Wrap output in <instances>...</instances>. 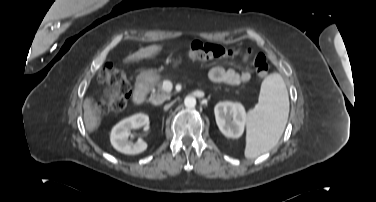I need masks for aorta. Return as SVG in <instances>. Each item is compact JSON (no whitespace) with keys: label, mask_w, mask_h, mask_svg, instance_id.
Segmentation results:
<instances>
[{"label":"aorta","mask_w":376,"mask_h":202,"mask_svg":"<svg viewBox=\"0 0 376 202\" xmlns=\"http://www.w3.org/2000/svg\"><path fill=\"white\" fill-rule=\"evenodd\" d=\"M184 105L188 108H194L196 106V99L193 96H187L184 99Z\"/></svg>","instance_id":"762f6f07"}]
</instances>
